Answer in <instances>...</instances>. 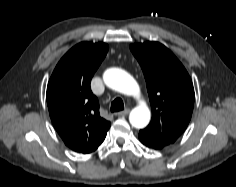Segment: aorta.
Instances as JSON below:
<instances>
[{"mask_svg": "<svg viewBox=\"0 0 236 187\" xmlns=\"http://www.w3.org/2000/svg\"><path fill=\"white\" fill-rule=\"evenodd\" d=\"M103 80L109 88L126 96L139 98V85L126 71L119 68H110L104 72ZM149 120L150 110L143 102L135 107L129 115V121L135 128H144Z\"/></svg>", "mask_w": 236, "mask_h": 187, "instance_id": "1", "label": "aorta"}]
</instances>
